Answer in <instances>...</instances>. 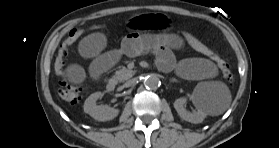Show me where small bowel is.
I'll return each mask as SVG.
<instances>
[{
	"label": "small bowel",
	"instance_id": "small-bowel-1",
	"mask_svg": "<svg viewBox=\"0 0 279 148\" xmlns=\"http://www.w3.org/2000/svg\"><path fill=\"white\" fill-rule=\"evenodd\" d=\"M106 37L103 33H93L85 37L79 50L82 56L92 59L90 73L97 77L108 67L116 63L122 56L135 57L146 52L156 55L157 64L163 71H169L175 66L173 49L184 45L183 40L172 34L150 35L144 33H132L127 35L120 48L105 52ZM68 78L81 83L85 78L84 69L77 64H69L66 67ZM177 72L182 77L200 80L212 78L217 74V68L209 60L202 58H191L177 65Z\"/></svg>",
	"mask_w": 279,
	"mask_h": 148
}]
</instances>
